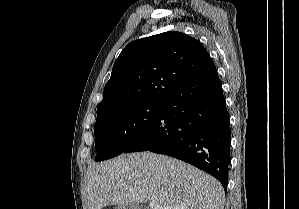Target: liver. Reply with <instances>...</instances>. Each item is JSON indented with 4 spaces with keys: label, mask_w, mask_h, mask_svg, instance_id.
Segmentation results:
<instances>
[{
    "label": "liver",
    "mask_w": 299,
    "mask_h": 209,
    "mask_svg": "<svg viewBox=\"0 0 299 209\" xmlns=\"http://www.w3.org/2000/svg\"><path fill=\"white\" fill-rule=\"evenodd\" d=\"M88 209L155 201L171 209H223L219 181L181 160L152 152L121 155L87 169Z\"/></svg>",
    "instance_id": "liver-1"
}]
</instances>
